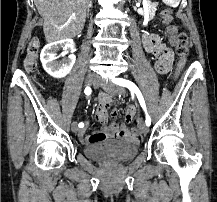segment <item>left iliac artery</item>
<instances>
[{
	"mask_svg": "<svg viewBox=\"0 0 217 202\" xmlns=\"http://www.w3.org/2000/svg\"><path fill=\"white\" fill-rule=\"evenodd\" d=\"M113 82L115 84H118L120 86L128 88L131 92L136 94V96L139 100V103L146 114L145 123L147 126H150L151 125V118L147 113L146 104H145L144 98H143L142 93L139 90V88L133 82L126 80V79H122V78L115 79V80H113Z\"/></svg>",
	"mask_w": 217,
	"mask_h": 202,
	"instance_id": "obj_1",
	"label": "left iliac artery"
}]
</instances>
